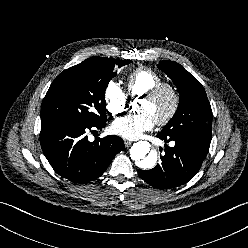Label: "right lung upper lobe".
<instances>
[{
    "label": "right lung upper lobe",
    "mask_w": 248,
    "mask_h": 248,
    "mask_svg": "<svg viewBox=\"0 0 248 248\" xmlns=\"http://www.w3.org/2000/svg\"><path fill=\"white\" fill-rule=\"evenodd\" d=\"M100 58H102V57H98V56L91 57V58L86 59L85 62H91V61H94V60H97V59H100ZM111 59H113V58H111Z\"/></svg>",
    "instance_id": "obj_1"
}]
</instances>
